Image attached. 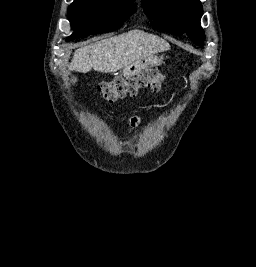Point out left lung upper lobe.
Segmentation results:
<instances>
[{
  "mask_svg": "<svg viewBox=\"0 0 256 267\" xmlns=\"http://www.w3.org/2000/svg\"><path fill=\"white\" fill-rule=\"evenodd\" d=\"M145 14L170 33H186L196 44L202 45L205 35L200 26V0H142Z\"/></svg>",
  "mask_w": 256,
  "mask_h": 267,
  "instance_id": "5c2ea615",
  "label": "left lung upper lobe"
}]
</instances>
